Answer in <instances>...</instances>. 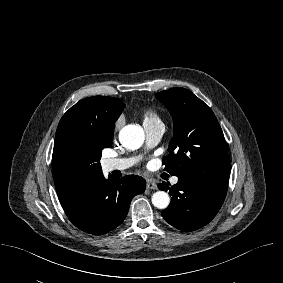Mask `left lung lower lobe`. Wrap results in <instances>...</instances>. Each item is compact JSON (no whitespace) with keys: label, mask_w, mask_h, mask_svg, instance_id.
Masks as SVG:
<instances>
[{"label":"left lung lower lobe","mask_w":283,"mask_h":283,"mask_svg":"<svg viewBox=\"0 0 283 283\" xmlns=\"http://www.w3.org/2000/svg\"><path fill=\"white\" fill-rule=\"evenodd\" d=\"M160 190L169 191L170 205L162 211L166 222L182 231H194L209 223L225 199L228 186L209 184L189 177H178L172 187L163 182Z\"/></svg>","instance_id":"left-lung-lower-lobe-1"}]
</instances>
